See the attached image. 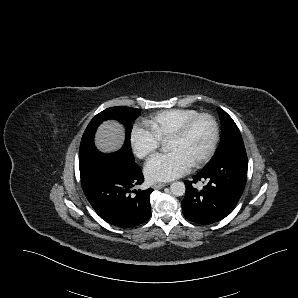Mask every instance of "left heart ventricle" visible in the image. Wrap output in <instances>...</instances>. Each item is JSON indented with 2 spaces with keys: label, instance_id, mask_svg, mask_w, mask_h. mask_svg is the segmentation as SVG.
Instances as JSON below:
<instances>
[{
  "label": "left heart ventricle",
  "instance_id": "1",
  "mask_svg": "<svg viewBox=\"0 0 298 298\" xmlns=\"http://www.w3.org/2000/svg\"><path fill=\"white\" fill-rule=\"evenodd\" d=\"M209 133L208 121L201 119L180 137L172 140L166 148L167 150L177 152L190 165L204 151L209 139Z\"/></svg>",
  "mask_w": 298,
  "mask_h": 298
}]
</instances>
